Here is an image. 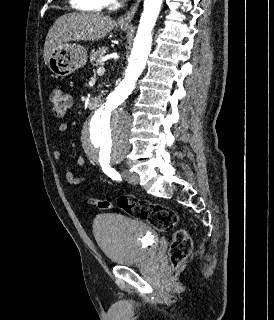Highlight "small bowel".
I'll list each match as a JSON object with an SVG mask.
<instances>
[{
    "label": "small bowel",
    "mask_w": 274,
    "mask_h": 320,
    "mask_svg": "<svg viewBox=\"0 0 274 320\" xmlns=\"http://www.w3.org/2000/svg\"><path fill=\"white\" fill-rule=\"evenodd\" d=\"M67 130H68V125L66 123H61L58 125L57 131L59 134H63ZM53 157L57 161L62 160V158H63L62 151L60 149H55L53 151ZM77 164L80 168H82L84 170L87 168L85 158L81 155L77 158ZM64 175H65V179H66L68 185L71 187H76V186L84 183L88 179V176L75 175L68 167L65 168Z\"/></svg>",
    "instance_id": "small-bowel-1"
}]
</instances>
